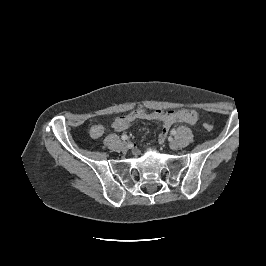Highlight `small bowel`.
<instances>
[{"instance_id":"c3829d8e","label":"small bowel","mask_w":266,"mask_h":266,"mask_svg":"<svg viewBox=\"0 0 266 266\" xmlns=\"http://www.w3.org/2000/svg\"><path fill=\"white\" fill-rule=\"evenodd\" d=\"M137 120L158 121L162 124V130L159 134V142L163 143L170 127L176 123L195 124L198 120V114L191 109H177L162 112L139 113L134 110L126 115L119 116L114 119L112 127L114 130L121 132L129 128V126ZM104 134V126L95 124L90 128L92 138H100Z\"/></svg>"}]
</instances>
